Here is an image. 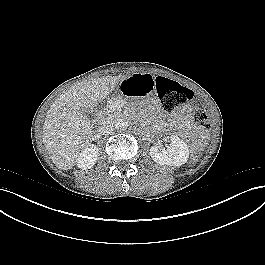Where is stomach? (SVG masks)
<instances>
[{
    "instance_id": "1",
    "label": "stomach",
    "mask_w": 265,
    "mask_h": 265,
    "mask_svg": "<svg viewBox=\"0 0 265 265\" xmlns=\"http://www.w3.org/2000/svg\"><path fill=\"white\" fill-rule=\"evenodd\" d=\"M153 88V80L149 74L136 73L121 76L114 83V90L120 96L138 98L149 94Z\"/></svg>"
}]
</instances>
